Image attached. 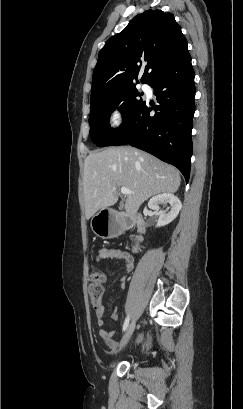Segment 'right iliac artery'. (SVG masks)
Listing matches in <instances>:
<instances>
[{
    "instance_id": "right-iliac-artery-1",
    "label": "right iliac artery",
    "mask_w": 243,
    "mask_h": 409,
    "mask_svg": "<svg viewBox=\"0 0 243 409\" xmlns=\"http://www.w3.org/2000/svg\"><path fill=\"white\" fill-rule=\"evenodd\" d=\"M129 320H130V318H129V315H128L126 317V319H125L124 324H123V331H125L127 329L128 325H129Z\"/></svg>"
}]
</instances>
